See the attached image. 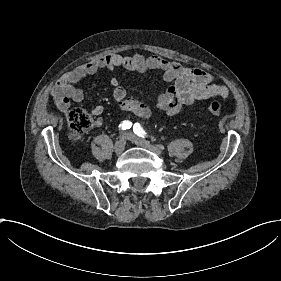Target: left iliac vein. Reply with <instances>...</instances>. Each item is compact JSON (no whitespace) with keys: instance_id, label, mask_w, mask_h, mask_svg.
I'll list each match as a JSON object with an SVG mask.
<instances>
[{"instance_id":"left-iliac-vein-1","label":"left iliac vein","mask_w":281,"mask_h":281,"mask_svg":"<svg viewBox=\"0 0 281 281\" xmlns=\"http://www.w3.org/2000/svg\"><path fill=\"white\" fill-rule=\"evenodd\" d=\"M124 139L126 141L136 142L137 144H140V146H144L145 148L150 149V151H154L160 154L159 148H157L155 145H149V141L142 140L141 138L136 137V135L134 136V134H132L131 132H126L124 134Z\"/></svg>"}]
</instances>
